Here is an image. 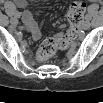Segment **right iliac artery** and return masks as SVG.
Masks as SVG:
<instances>
[{
    "mask_svg": "<svg viewBox=\"0 0 103 103\" xmlns=\"http://www.w3.org/2000/svg\"><path fill=\"white\" fill-rule=\"evenodd\" d=\"M14 17L19 18L20 17V13L18 11H14L13 12Z\"/></svg>",
    "mask_w": 103,
    "mask_h": 103,
    "instance_id": "82829eb1",
    "label": "right iliac artery"
}]
</instances>
